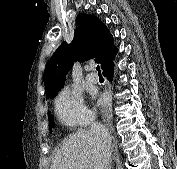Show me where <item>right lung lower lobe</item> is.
Wrapping results in <instances>:
<instances>
[{
	"mask_svg": "<svg viewBox=\"0 0 177 169\" xmlns=\"http://www.w3.org/2000/svg\"><path fill=\"white\" fill-rule=\"evenodd\" d=\"M113 69H114V64H110L107 67L103 69V75L110 81L112 82L113 80Z\"/></svg>",
	"mask_w": 177,
	"mask_h": 169,
	"instance_id": "98d812e1",
	"label": "right lung lower lobe"
}]
</instances>
